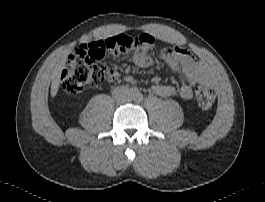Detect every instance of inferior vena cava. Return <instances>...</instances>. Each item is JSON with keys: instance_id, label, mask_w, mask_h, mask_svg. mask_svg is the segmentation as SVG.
Listing matches in <instances>:
<instances>
[{"instance_id": "obj_1", "label": "inferior vena cava", "mask_w": 265, "mask_h": 202, "mask_svg": "<svg viewBox=\"0 0 265 202\" xmlns=\"http://www.w3.org/2000/svg\"><path fill=\"white\" fill-rule=\"evenodd\" d=\"M112 95H113V99L119 103H124L131 99V92L129 88L126 86L116 87L113 90Z\"/></svg>"}]
</instances>
